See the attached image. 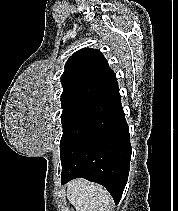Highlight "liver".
I'll return each instance as SVG.
<instances>
[{
	"mask_svg": "<svg viewBox=\"0 0 178 211\" xmlns=\"http://www.w3.org/2000/svg\"><path fill=\"white\" fill-rule=\"evenodd\" d=\"M67 199L76 211H109L112 201L104 187L84 179L67 185Z\"/></svg>",
	"mask_w": 178,
	"mask_h": 211,
	"instance_id": "liver-1",
	"label": "liver"
}]
</instances>
